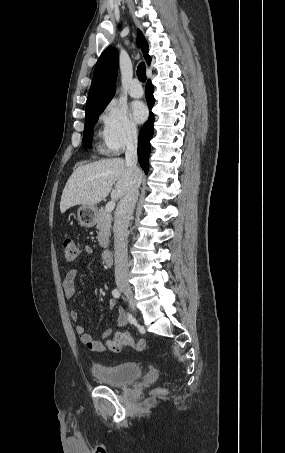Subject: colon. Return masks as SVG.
<instances>
[{
  "instance_id": "5ec220e1",
  "label": "colon",
  "mask_w": 285,
  "mask_h": 453,
  "mask_svg": "<svg viewBox=\"0 0 285 453\" xmlns=\"http://www.w3.org/2000/svg\"><path fill=\"white\" fill-rule=\"evenodd\" d=\"M63 249L67 261H74L80 254V247L73 239H65ZM107 346L113 352H119L124 346L143 351L146 349L147 343L144 339L134 340L127 332H116L111 339L107 340ZM164 392V389L158 390L160 394Z\"/></svg>"
}]
</instances>
